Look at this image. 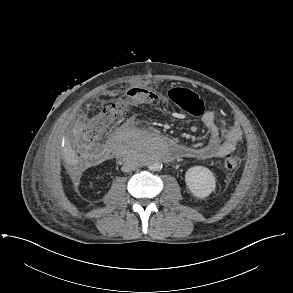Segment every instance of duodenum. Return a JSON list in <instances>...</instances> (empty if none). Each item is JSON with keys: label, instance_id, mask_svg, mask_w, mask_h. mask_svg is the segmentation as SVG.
<instances>
[{"label": "duodenum", "instance_id": "410a0bca", "mask_svg": "<svg viewBox=\"0 0 293 293\" xmlns=\"http://www.w3.org/2000/svg\"><path fill=\"white\" fill-rule=\"evenodd\" d=\"M180 152H181V147L178 148L177 154L173 155L172 158H171V160H175L176 158H178L179 156H181L180 155Z\"/></svg>", "mask_w": 293, "mask_h": 293}]
</instances>
